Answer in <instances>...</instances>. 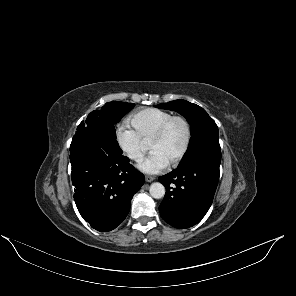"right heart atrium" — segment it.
I'll list each match as a JSON object with an SVG mask.
<instances>
[{
	"instance_id": "right-heart-atrium-1",
	"label": "right heart atrium",
	"mask_w": 296,
	"mask_h": 296,
	"mask_svg": "<svg viewBox=\"0 0 296 296\" xmlns=\"http://www.w3.org/2000/svg\"><path fill=\"white\" fill-rule=\"evenodd\" d=\"M116 139L124 154L132 161H141L147 150V144L132 128L121 125L116 130Z\"/></svg>"
}]
</instances>
